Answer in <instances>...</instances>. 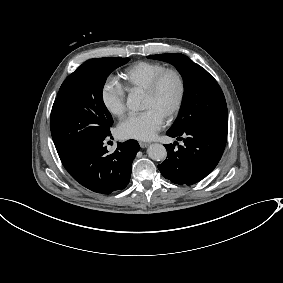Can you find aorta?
<instances>
[{
  "mask_svg": "<svg viewBox=\"0 0 283 283\" xmlns=\"http://www.w3.org/2000/svg\"><path fill=\"white\" fill-rule=\"evenodd\" d=\"M127 106L129 109L138 111L141 109V98L136 93H131L127 98ZM148 156L156 161H162L166 159L167 151L162 144H151L147 149Z\"/></svg>",
  "mask_w": 283,
  "mask_h": 283,
  "instance_id": "1",
  "label": "aorta"
}]
</instances>
